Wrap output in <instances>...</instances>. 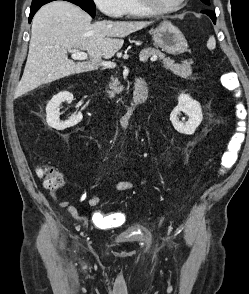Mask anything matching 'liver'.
Instances as JSON below:
<instances>
[{"label": "liver", "mask_w": 249, "mask_h": 294, "mask_svg": "<svg viewBox=\"0 0 249 294\" xmlns=\"http://www.w3.org/2000/svg\"><path fill=\"white\" fill-rule=\"evenodd\" d=\"M65 1L44 5L32 21L28 58L15 97L40 85L94 70L102 58H111L122 47V38L141 30L148 21H98ZM71 49L87 51L89 61L68 58Z\"/></svg>", "instance_id": "liver-1"}]
</instances>
